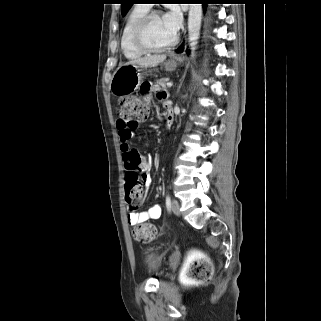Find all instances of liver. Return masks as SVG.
I'll return each instance as SVG.
<instances>
[{
  "instance_id": "1",
  "label": "liver",
  "mask_w": 321,
  "mask_h": 321,
  "mask_svg": "<svg viewBox=\"0 0 321 321\" xmlns=\"http://www.w3.org/2000/svg\"><path fill=\"white\" fill-rule=\"evenodd\" d=\"M166 59V55H151L142 58H137L129 61L127 64L138 65L142 67L157 66Z\"/></svg>"
}]
</instances>
